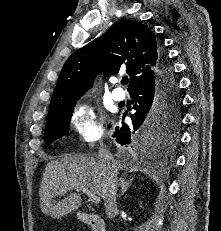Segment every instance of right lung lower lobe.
<instances>
[{
    "mask_svg": "<svg viewBox=\"0 0 221 231\" xmlns=\"http://www.w3.org/2000/svg\"><path fill=\"white\" fill-rule=\"evenodd\" d=\"M170 96L180 100V93L176 83L175 74L169 59L161 51L159 59V75L156 80L141 88L130 92L131 98L135 101L136 112L131 115L132 125H126L122 121L121 127L117 126L113 137L121 145L134 148L144 157H156L164 151V146L148 141L142 127L146 123L156 101L160 96Z\"/></svg>",
    "mask_w": 221,
    "mask_h": 231,
    "instance_id": "obj_1",
    "label": "right lung lower lobe"
}]
</instances>
